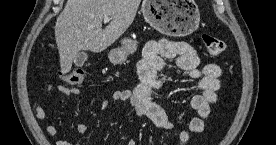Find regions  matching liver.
I'll return each mask as SVG.
<instances>
[{"label":"liver","instance_id":"liver-1","mask_svg":"<svg viewBox=\"0 0 276 145\" xmlns=\"http://www.w3.org/2000/svg\"><path fill=\"white\" fill-rule=\"evenodd\" d=\"M141 0H67L55 23L62 73L71 70L81 50L99 53L112 45L132 24ZM105 16L111 18L103 30Z\"/></svg>","mask_w":276,"mask_h":145}]
</instances>
